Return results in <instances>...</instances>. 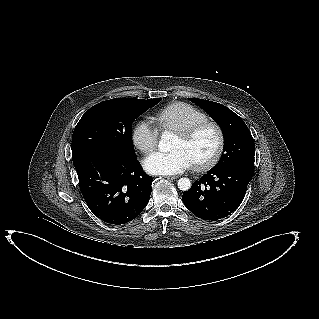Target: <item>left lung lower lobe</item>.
<instances>
[{"label": "left lung lower lobe", "mask_w": 319, "mask_h": 319, "mask_svg": "<svg viewBox=\"0 0 319 319\" xmlns=\"http://www.w3.org/2000/svg\"><path fill=\"white\" fill-rule=\"evenodd\" d=\"M254 170L240 165L212 168L182 195L184 205L197 217L216 221L242 203Z\"/></svg>", "instance_id": "1"}]
</instances>
